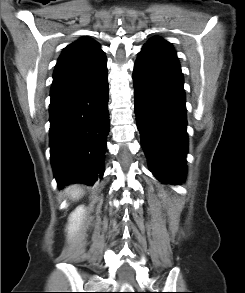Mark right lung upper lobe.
I'll return each mask as SVG.
<instances>
[{"instance_id":"right-lung-upper-lobe-1","label":"right lung upper lobe","mask_w":245,"mask_h":293,"mask_svg":"<svg viewBox=\"0 0 245 293\" xmlns=\"http://www.w3.org/2000/svg\"><path fill=\"white\" fill-rule=\"evenodd\" d=\"M107 59L100 44L81 38L64 48L55 66L51 96L62 93L106 69Z\"/></svg>"}]
</instances>
